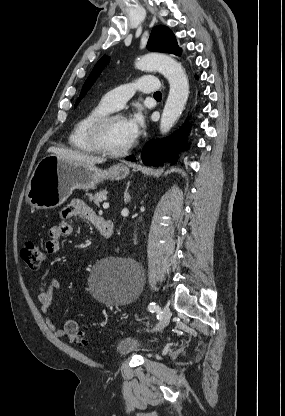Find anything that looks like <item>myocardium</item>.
Masks as SVG:
<instances>
[{
    "label": "myocardium",
    "mask_w": 285,
    "mask_h": 416,
    "mask_svg": "<svg viewBox=\"0 0 285 416\" xmlns=\"http://www.w3.org/2000/svg\"><path fill=\"white\" fill-rule=\"evenodd\" d=\"M117 118H124V116L120 113L110 111L99 117L91 125L89 130V140L97 153L111 157H119L126 154L131 149L132 143L128 144L123 149L114 150L109 148L104 141V134L107 126L111 121Z\"/></svg>",
    "instance_id": "1"
}]
</instances>
